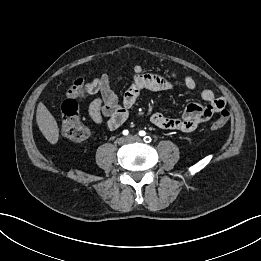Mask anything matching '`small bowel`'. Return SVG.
<instances>
[{
  "mask_svg": "<svg viewBox=\"0 0 261 261\" xmlns=\"http://www.w3.org/2000/svg\"><path fill=\"white\" fill-rule=\"evenodd\" d=\"M134 78L125 91L122 103H119L118 97L113 89L114 75L103 74L101 77L100 96L91 101L88 106V114L91 120L98 125H106L109 129H117L127 119L129 110L136 103L140 93L144 89L152 91H164L174 86V81L179 78L175 71H171L168 77L158 74L144 73L143 67L139 64L133 67ZM183 85L190 91L197 89L195 79L190 75L182 77ZM91 94L80 92L78 96ZM200 97L206 102V105L199 103H190L181 118L173 119L166 117L160 112L154 113L151 122L165 130H176L181 132H192L199 126L211 119L225 108V100L216 98L213 91L209 88L200 89Z\"/></svg>",
  "mask_w": 261,
  "mask_h": 261,
  "instance_id": "1",
  "label": "small bowel"
}]
</instances>
